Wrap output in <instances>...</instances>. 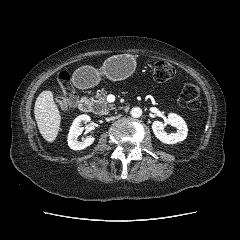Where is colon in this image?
Here are the masks:
<instances>
[{
  "mask_svg": "<svg viewBox=\"0 0 240 240\" xmlns=\"http://www.w3.org/2000/svg\"><path fill=\"white\" fill-rule=\"evenodd\" d=\"M175 75V68L166 61H157L152 66V76L158 82H165ZM58 82L61 94L58 98V105L62 110L73 107L76 104L77 96L72 87L69 73L62 71L58 75ZM181 97L191 110H198L201 107L200 89L194 84H187L182 88Z\"/></svg>",
  "mask_w": 240,
  "mask_h": 240,
  "instance_id": "1",
  "label": "colon"
}]
</instances>
